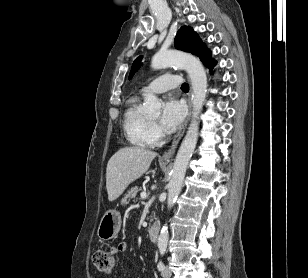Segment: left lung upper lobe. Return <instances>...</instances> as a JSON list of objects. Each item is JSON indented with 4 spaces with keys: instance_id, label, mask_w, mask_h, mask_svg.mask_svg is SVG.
Here are the masks:
<instances>
[{
    "instance_id": "1",
    "label": "left lung upper lobe",
    "mask_w": 308,
    "mask_h": 278,
    "mask_svg": "<svg viewBox=\"0 0 308 278\" xmlns=\"http://www.w3.org/2000/svg\"><path fill=\"white\" fill-rule=\"evenodd\" d=\"M175 47L179 50L190 52L200 57L202 62L209 68H213L216 65V61L211 58V52L200 40L198 34L193 31L191 27H182L178 31L175 41ZM142 56L138 57L132 66L129 74V79L135 74L137 69L140 67V61Z\"/></svg>"
}]
</instances>
